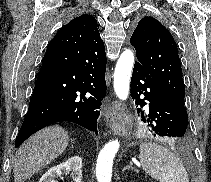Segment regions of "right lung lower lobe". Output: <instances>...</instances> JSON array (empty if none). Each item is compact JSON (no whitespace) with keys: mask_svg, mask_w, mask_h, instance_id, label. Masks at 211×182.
Instances as JSON below:
<instances>
[{"mask_svg":"<svg viewBox=\"0 0 211 182\" xmlns=\"http://www.w3.org/2000/svg\"><path fill=\"white\" fill-rule=\"evenodd\" d=\"M106 54L102 39L51 41L15 142L18 147L38 130L69 121L97 131L106 95Z\"/></svg>","mask_w":211,"mask_h":182,"instance_id":"1","label":"right lung lower lobe"}]
</instances>
